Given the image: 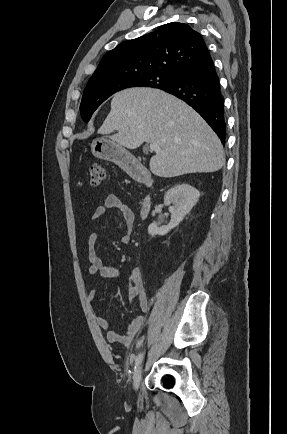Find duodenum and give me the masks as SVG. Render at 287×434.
Here are the masks:
<instances>
[{"label":"duodenum","mask_w":287,"mask_h":434,"mask_svg":"<svg viewBox=\"0 0 287 434\" xmlns=\"http://www.w3.org/2000/svg\"><path fill=\"white\" fill-rule=\"evenodd\" d=\"M123 165L130 171L132 177L140 182V183H144V184H150L152 182L151 176L149 175L148 172H146V170L141 167L139 165V163L137 162V160L133 157H126L123 159L122 161ZM151 198L150 197H145L139 206V213L141 218L145 219L150 210H151Z\"/></svg>","instance_id":"1"}]
</instances>
